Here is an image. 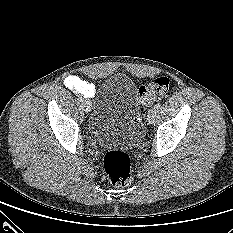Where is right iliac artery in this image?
<instances>
[{
    "label": "right iliac artery",
    "instance_id": "obj_1",
    "mask_svg": "<svg viewBox=\"0 0 233 233\" xmlns=\"http://www.w3.org/2000/svg\"><path fill=\"white\" fill-rule=\"evenodd\" d=\"M78 102L82 103L84 101V99L82 97H78Z\"/></svg>",
    "mask_w": 233,
    "mask_h": 233
}]
</instances>
